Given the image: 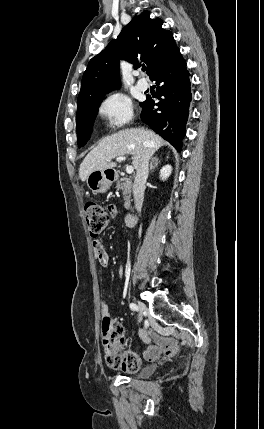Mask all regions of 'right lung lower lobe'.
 Masks as SVG:
<instances>
[{
	"label": "right lung lower lobe",
	"mask_w": 264,
	"mask_h": 429,
	"mask_svg": "<svg viewBox=\"0 0 264 429\" xmlns=\"http://www.w3.org/2000/svg\"><path fill=\"white\" fill-rule=\"evenodd\" d=\"M150 79L156 81L159 102L155 103L148 97L142 106L141 119L181 151L191 91L189 72L179 49L157 68Z\"/></svg>",
	"instance_id": "1"
}]
</instances>
